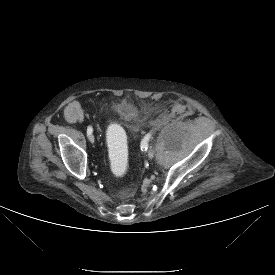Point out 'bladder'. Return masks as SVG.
<instances>
[{
  "label": "bladder",
  "mask_w": 275,
  "mask_h": 275,
  "mask_svg": "<svg viewBox=\"0 0 275 275\" xmlns=\"http://www.w3.org/2000/svg\"><path fill=\"white\" fill-rule=\"evenodd\" d=\"M113 114L115 117L120 118L124 123L131 122L138 119L137 106L128 100H121L116 102L113 108Z\"/></svg>",
  "instance_id": "obj_1"
}]
</instances>
